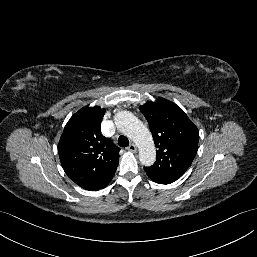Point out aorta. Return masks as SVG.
Listing matches in <instances>:
<instances>
[{"mask_svg":"<svg viewBox=\"0 0 257 257\" xmlns=\"http://www.w3.org/2000/svg\"><path fill=\"white\" fill-rule=\"evenodd\" d=\"M115 124L138 146L141 164L144 166L153 165L156 159V150L148 128L129 111L119 112L115 117Z\"/></svg>","mask_w":257,"mask_h":257,"instance_id":"aorta-1","label":"aorta"}]
</instances>
